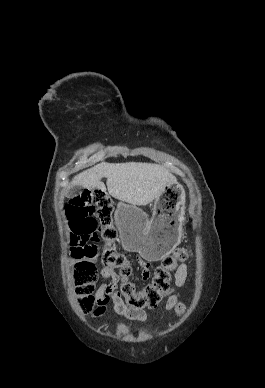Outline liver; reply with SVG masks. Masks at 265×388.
I'll list each match as a JSON object with an SVG mask.
<instances>
[{
	"label": "liver",
	"mask_w": 265,
	"mask_h": 388,
	"mask_svg": "<svg viewBox=\"0 0 265 388\" xmlns=\"http://www.w3.org/2000/svg\"><path fill=\"white\" fill-rule=\"evenodd\" d=\"M101 178H107L108 194L116 200L147 206L153 200H159L168 184H176L177 180L166 168L157 164H98L87 172H82L73 178L72 186H83L88 190L99 188L105 192V184Z\"/></svg>",
	"instance_id": "6515ba94"
}]
</instances>
